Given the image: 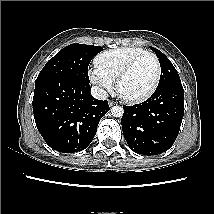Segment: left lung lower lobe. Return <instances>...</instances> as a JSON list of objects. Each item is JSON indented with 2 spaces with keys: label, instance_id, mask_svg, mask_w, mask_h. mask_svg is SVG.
<instances>
[{
  "label": "left lung lower lobe",
  "instance_id": "obj_1",
  "mask_svg": "<svg viewBox=\"0 0 214 214\" xmlns=\"http://www.w3.org/2000/svg\"><path fill=\"white\" fill-rule=\"evenodd\" d=\"M181 82L157 88L146 101L123 106L122 130L129 148L143 155H158L175 142L184 115Z\"/></svg>",
  "mask_w": 214,
  "mask_h": 214
}]
</instances>
